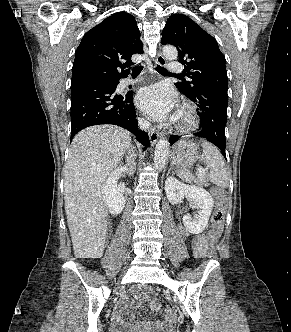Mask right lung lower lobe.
Here are the masks:
<instances>
[{
    "label": "right lung lower lobe",
    "mask_w": 291,
    "mask_h": 332,
    "mask_svg": "<svg viewBox=\"0 0 291 332\" xmlns=\"http://www.w3.org/2000/svg\"><path fill=\"white\" fill-rule=\"evenodd\" d=\"M118 82L96 80L71 87V139L80 130L100 124H113L131 131L144 146L147 133L138 129L132 93H118Z\"/></svg>",
    "instance_id": "obj_1"
}]
</instances>
